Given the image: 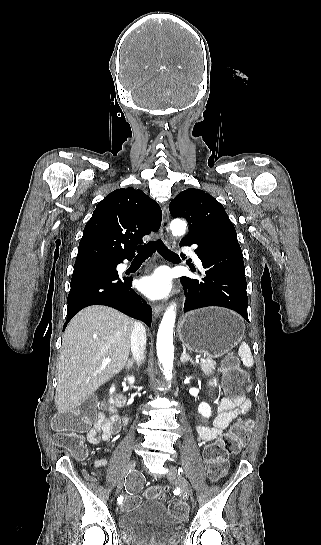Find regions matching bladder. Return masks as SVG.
Here are the masks:
<instances>
[{
	"mask_svg": "<svg viewBox=\"0 0 321 545\" xmlns=\"http://www.w3.org/2000/svg\"><path fill=\"white\" fill-rule=\"evenodd\" d=\"M118 526L122 541L128 545H177L184 533L183 523L158 499L123 510Z\"/></svg>",
	"mask_w": 321,
	"mask_h": 545,
	"instance_id": "obj_1",
	"label": "bladder"
}]
</instances>
